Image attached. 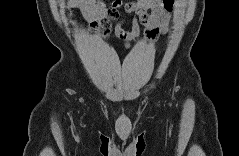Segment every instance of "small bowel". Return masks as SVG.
<instances>
[{"mask_svg": "<svg viewBox=\"0 0 239 156\" xmlns=\"http://www.w3.org/2000/svg\"><path fill=\"white\" fill-rule=\"evenodd\" d=\"M72 4L83 11L93 30L99 28L102 37L113 31L118 39L129 46L140 35L142 27L149 43L166 34L175 0H134L126 3L114 0L109 6L93 0H73ZM124 14L132 15L130 30L123 27ZM112 22H115L114 26Z\"/></svg>", "mask_w": 239, "mask_h": 156, "instance_id": "1", "label": "small bowel"}]
</instances>
